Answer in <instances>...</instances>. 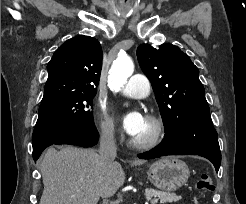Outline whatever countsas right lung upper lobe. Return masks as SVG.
<instances>
[{
    "label": "right lung upper lobe",
    "instance_id": "1",
    "mask_svg": "<svg viewBox=\"0 0 246 204\" xmlns=\"http://www.w3.org/2000/svg\"><path fill=\"white\" fill-rule=\"evenodd\" d=\"M101 68L102 49L97 39L77 36L67 40L47 65L42 101L72 93H96Z\"/></svg>",
    "mask_w": 246,
    "mask_h": 204
}]
</instances>
